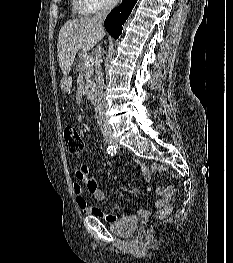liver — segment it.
Here are the masks:
<instances>
[{
    "label": "liver",
    "mask_w": 233,
    "mask_h": 263,
    "mask_svg": "<svg viewBox=\"0 0 233 263\" xmlns=\"http://www.w3.org/2000/svg\"><path fill=\"white\" fill-rule=\"evenodd\" d=\"M103 36L92 18L67 21L59 32L57 43L59 66L63 74H69L80 49L90 51Z\"/></svg>",
    "instance_id": "1"
}]
</instances>
